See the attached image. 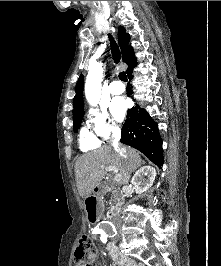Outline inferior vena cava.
<instances>
[{
  "mask_svg": "<svg viewBox=\"0 0 221 266\" xmlns=\"http://www.w3.org/2000/svg\"><path fill=\"white\" fill-rule=\"evenodd\" d=\"M121 137V131L118 128L113 129L112 131V137H111V144L113 145L115 151L122 156L123 158H126V149L119 145V140ZM113 223L115 227H119L121 225V220L119 217L114 218Z\"/></svg>",
  "mask_w": 221,
  "mask_h": 266,
  "instance_id": "602c4592",
  "label": "inferior vena cava"
}]
</instances>
